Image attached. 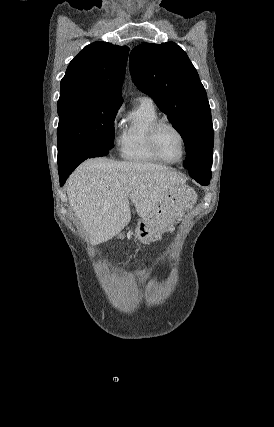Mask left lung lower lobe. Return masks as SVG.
<instances>
[{
    "label": "left lung lower lobe",
    "instance_id": "left-lung-lower-lobe-1",
    "mask_svg": "<svg viewBox=\"0 0 274 427\" xmlns=\"http://www.w3.org/2000/svg\"><path fill=\"white\" fill-rule=\"evenodd\" d=\"M190 176L201 185H208L211 179L210 175H198V174L190 173Z\"/></svg>",
    "mask_w": 274,
    "mask_h": 427
}]
</instances>
